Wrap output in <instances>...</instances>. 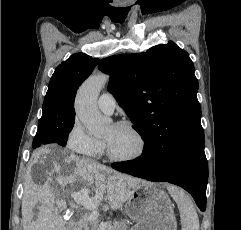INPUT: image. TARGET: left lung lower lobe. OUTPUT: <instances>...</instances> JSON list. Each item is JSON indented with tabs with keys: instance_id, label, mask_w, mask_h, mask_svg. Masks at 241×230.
<instances>
[{
	"instance_id": "0a47b994",
	"label": "left lung lower lobe",
	"mask_w": 241,
	"mask_h": 230,
	"mask_svg": "<svg viewBox=\"0 0 241 230\" xmlns=\"http://www.w3.org/2000/svg\"><path fill=\"white\" fill-rule=\"evenodd\" d=\"M111 166L149 181L176 184L188 191L200 210L205 211L208 163L204 145L170 150L160 140L147 142L139 158Z\"/></svg>"
}]
</instances>
